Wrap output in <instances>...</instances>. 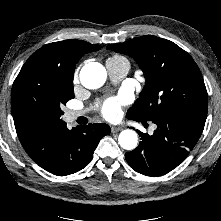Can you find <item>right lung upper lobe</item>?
Segmentation results:
<instances>
[{
    "mask_svg": "<svg viewBox=\"0 0 221 221\" xmlns=\"http://www.w3.org/2000/svg\"><path fill=\"white\" fill-rule=\"evenodd\" d=\"M99 45L91 44L82 40H64L47 44L33 53L27 60L32 61L37 59L45 63H54L61 66H71L75 68V64L81 56L88 52L99 50ZM30 129L18 128L17 135H21Z\"/></svg>",
    "mask_w": 221,
    "mask_h": 221,
    "instance_id": "right-lung-upper-lobe-1",
    "label": "right lung upper lobe"
}]
</instances>
